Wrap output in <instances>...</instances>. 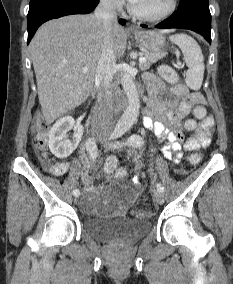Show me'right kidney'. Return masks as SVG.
<instances>
[{
	"mask_svg": "<svg viewBox=\"0 0 233 284\" xmlns=\"http://www.w3.org/2000/svg\"><path fill=\"white\" fill-rule=\"evenodd\" d=\"M73 129L74 134L69 138L68 131ZM83 126L76 124L71 116L59 119L49 133V148L58 158H66L73 153L79 145L83 135Z\"/></svg>",
	"mask_w": 233,
	"mask_h": 284,
	"instance_id": "ca27d5eb",
	"label": "right kidney"
}]
</instances>
